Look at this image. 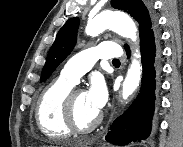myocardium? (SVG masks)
I'll use <instances>...</instances> for the list:
<instances>
[{"instance_id": "1", "label": "myocardium", "mask_w": 183, "mask_h": 147, "mask_svg": "<svg viewBox=\"0 0 183 147\" xmlns=\"http://www.w3.org/2000/svg\"><path fill=\"white\" fill-rule=\"evenodd\" d=\"M80 92L83 91L81 89H73L67 95L64 102V119L67 127L71 130V132L77 134H86L92 132L101 123L102 114L98 112L95 119L88 126H79L75 119V98Z\"/></svg>"}]
</instances>
